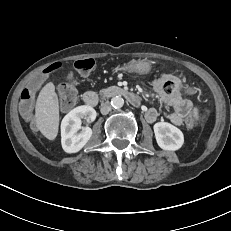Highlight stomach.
<instances>
[{
  "mask_svg": "<svg viewBox=\"0 0 231 231\" xmlns=\"http://www.w3.org/2000/svg\"><path fill=\"white\" fill-rule=\"evenodd\" d=\"M151 63L148 60H132L117 67V70L129 73H136L139 75H146L151 71Z\"/></svg>",
  "mask_w": 231,
  "mask_h": 231,
  "instance_id": "1",
  "label": "stomach"
}]
</instances>
